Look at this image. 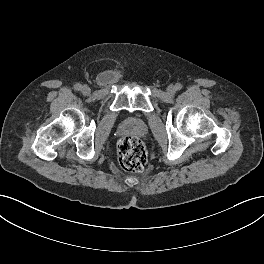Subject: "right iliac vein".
Listing matches in <instances>:
<instances>
[{"mask_svg":"<svg viewBox=\"0 0 264 264\" xmlns=\"http://www.w3.org/2000/svg\"><path fill=\"white\" fill-rule=\"evenodd\" d=\"M90 91L91 90H90L89 86H87V85H83L82 88H81V92L84 95H88L90 93Z\"/></svg>","mask_w":264,"mask_h":264,"instance_id":"obj_1","label":"right iliac vein"}]
</instances>
